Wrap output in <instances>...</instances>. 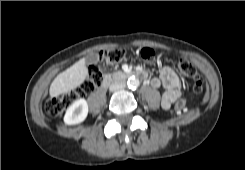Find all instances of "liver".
Returning a JSON list of instances; mask_svg holds the SVG:
<instances>
[{
    "instance_id": "liver-1",
    "label": "liver",
    "mask_w": 245,
    "mask_h": 170,
    "mask_svg": "<svg viewBox=\"0 0 245 170\" xmlns=\"http://www.w3.org/2000/svg\"><path fill=\"white\" fill-rule=\"evenodd\" d=\"M85 63V58H82L64 72L58 74L50 85V96L57 97L79 87L88 75Z\"/></svg>"
}]
</instances>
